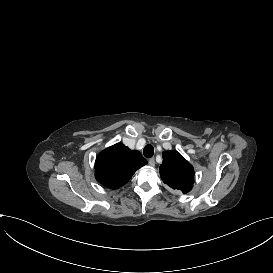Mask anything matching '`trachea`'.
Instances as JSON below:
<instances>
[{"label": "trachea", "mask_w": 273, "mask_h": 273, "mask_svg": "<svg viewBox=\"0 0 273 273\" xmlns=\"http://www.w3.org/2000/svg\"><path fill=\"white\" fill-rule=\"evenodd\" d=\"M143 154L146 158H151L154 154V148L152 145H146L143 149Z\"/></svg>", "instance_id": "1"}]
</instances>
